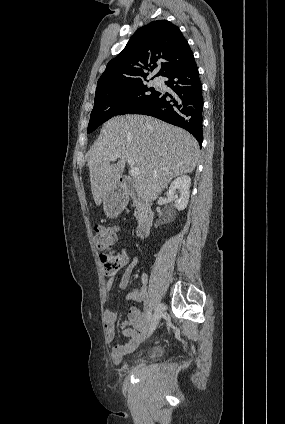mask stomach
I'll return each mask as SVG.
<instances>
[{"instance_id":"stomach-1","label":"stomach","mask_w":285,"mask_h":424,"mask_svg":"<svg viewBox=\"0 0 285 424\" xmlns=\"http://www.w3.org/2000/svg\"><path fill=\"white\" fill-rule=\"evenodd\" d=\"M123 207L124 202L121 195L114 190L109 192L103 201L104 212L110 218L118 215Z\"/></svg>"}]
</instances>
